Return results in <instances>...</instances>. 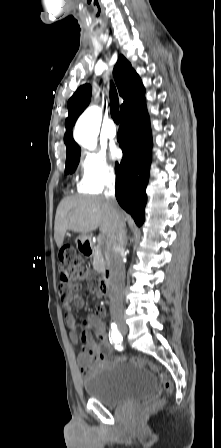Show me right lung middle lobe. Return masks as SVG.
<instances>
[{"instance_id":"1","label":"right lung middle lobe","mask_w":221,"mask_h":448,"mask_svg":"<svg viewBox=\"0 0 221 448\" xmlns=\"http://www.w3.org/2000/svg\"><path fill=\"white\" fill-rule=\"evenodd\" d=\"M81 153V152H80ZM80 153L68 156L66 158V168L65 173H73L79 163Z\"/></svg>"}]
</instances>
